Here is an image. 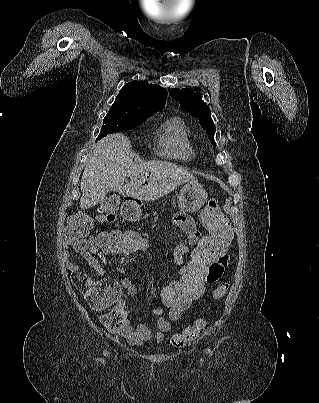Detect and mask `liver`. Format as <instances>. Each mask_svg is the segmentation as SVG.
<instances>
[{
  "instance_id": "obj_1",
  "label": "liver",
  "mask_w": 319,
  "mask_h": 403,
  "mask_svg": "<svg viewBox=\"0 0 319 403\" xmlns=\"http://www.w3.org/2000/svg\"><path fill=\"white\" fill-rule=\"evenodd\" d=\"M130 140L121 133L100 140L89 154L82 174L80 208L98 204L109 191L141 201L166 196L181 184L197 179L180 166L160 160L134 162ZM126 176L130 182L124 184Z\"/></svg>"
}]
</instances>
